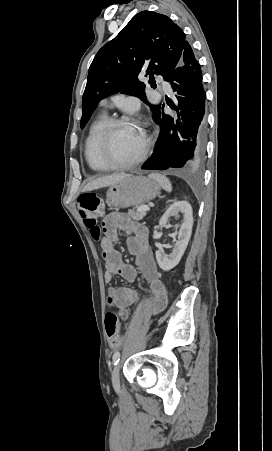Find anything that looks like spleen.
<instances>
[{"mask_svg": "<svg viewBox=\"0 0 272 451\" xmlns=\"http://www.w3.org/2000/svg\"><path fill=\"white\" fill-rule=\"evenodd\" d=\"M148 178H151V180H156V182H158L161 188L166 190V192H172V184L166 176H161V174H149Z\"/></svg>", "mask_w": 272, "mask_h": 451, "instance_id": "obj_1", "label": "spleen"}]
</instances>
